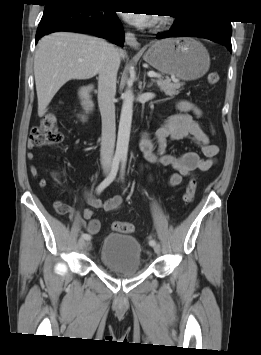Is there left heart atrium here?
Segmentation results:
<instances>
[{"label":"left heart atrium","instance_id":"39dd6f15","mask_svg":"<svg viewBox=\"0 0 261 355\" xmlns=\"http://www.w3.org/2000/svg\"><path fill=\"white\" fill-rule=\"evenodd\" d=\"M124 19L135 26H148L155 22V15L151 13H126L123 14Z\"/></svg>","mask_w":261,"mask_h":355}]
</instances>
